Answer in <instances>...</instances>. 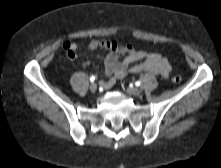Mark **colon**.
Instances as JSON below:
<instances>
[{
    "label": "colon",
    "mask_w": 221,
    "mask_h": 168,
    "mask_svg": "<svg viewBox=\"0 0 221 168\" xmlns=\"http://www.w3.org/2000/svg\"><path fill=\"white\" fill-rule=\"evenodd\" d=\"M172 81L174 82V83H180L181 82V77L180 76H173L172 77Z\"/></svg>",
    "instance_id": "obj_1"
}]
</instances>
